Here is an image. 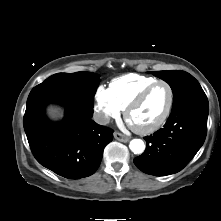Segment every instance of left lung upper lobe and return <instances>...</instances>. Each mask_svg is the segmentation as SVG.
Returning <instances> with one entry per match:
<instances>
[{"label": "left lung upper lobe", "mask_w": 221, "mask_h": 221, "mask_svg": "<svg viewBox=\"0 0 221 221\" xmlns=\"http://www.w3.org/2000/svg\"><path fill=\"white\" fill-rule=\"evenodd\" d=\"M154 76L166 81L173 91V105L192 94L204 92L198 81L184 71H154Z\"/></svg>", "instance_id": "left-lung-upper-lobe-1"}]
</instances>
